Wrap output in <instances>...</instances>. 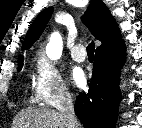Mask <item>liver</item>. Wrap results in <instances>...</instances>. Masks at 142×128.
<instances>
[{"label":"liver","mask_w":142,"mask_h":128,"mask_svg":"<svg viewBox=\"0 0 142 128\" xmlns=\"http://www.w3.org/2000/svg\"><path fill=\"white\" fill-rule=\"evenodd\" d=\"M12 128H67V124L59 111L27 108L17 114Z\"/></svg>","instance_id":"obj_1"}]
</instances>
